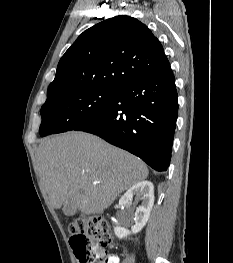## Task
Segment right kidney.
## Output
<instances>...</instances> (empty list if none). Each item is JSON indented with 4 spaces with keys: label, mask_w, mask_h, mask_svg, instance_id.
I'll use <instances>...</instances> for the list:
<instances>
[{
    "label": "right kidney",
    "mask_w": 233,
    "mask_h": 263,
    "mask_svg": "<svg viewBox=\"0 0 233 263\" xmlns=\"http://www.w3.org/2000/svg\"><path fill=\"white\" fill-rule=\"evenodd\" d=\"M134 196L136 201H142V204L137 207L134 215L135 225L131 227V231L121 226L114 227V233L119 239L140 232L146 225L154 205V186L152 182L141 181L133 185L120 198L119 205H130Z\"/></svg>",
    "instance_id": "1"
}]
</instances>
